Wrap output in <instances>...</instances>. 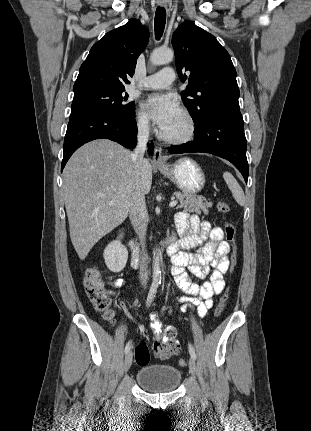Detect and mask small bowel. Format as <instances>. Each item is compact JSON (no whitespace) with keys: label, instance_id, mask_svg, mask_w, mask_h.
<instances>
[{"label":"small bowel","instance_id":"small-bowel-1","mask_svg":"<svg viewBox=\"0 0 311 431\" xmlns=\"http://www.w3.org/2000/svg\"><path fill=\"white\" fill-rule=\"evenodd\" d=\"M175 225L180 239L175 242L170 256L175 281L186 295L181 298L184 302L181 311L196 306L199 314L205 315L212 307V298L224 290L230 246L223 240L221 227L211 226L197 215L179 212L175 216ZM186 269L203 282H193ZM122 284L123 281L118 280L115 286L120 287ZM151 327L157 336L163 335L164 339L175 341L176 328H164L156 313L151 315Z\"/></svg>","mask_w":311,"mask_h":431}]
</instances>
